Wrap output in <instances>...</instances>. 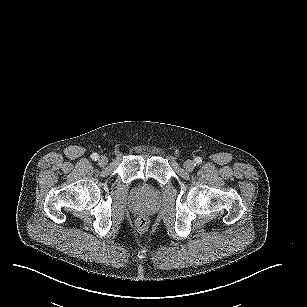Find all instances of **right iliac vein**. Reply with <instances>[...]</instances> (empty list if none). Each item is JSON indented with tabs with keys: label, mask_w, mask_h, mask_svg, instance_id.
<instances>
[{
	"label": "right iliac vein",
	"mask_w": 307,
	"mask_h": 307,
	"mask_svg": "<svg viewBox=\"0 0 307 307\" xmlns=\"http://www.w3.org/2000/svg\"><path fill=\"white\" fill-rule=\"evenodd\" d=\"M100 166H105L108 163V158L105 155L100 156L98 161Z\"/></svg>",
	"instance_id": "1"
}]
</instances>
